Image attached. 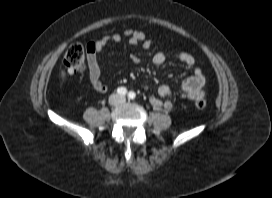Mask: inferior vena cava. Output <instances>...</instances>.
Instances as JSON below:
<instances>
[{
    "label": "inferior vena cava",
    "mask_w": 272,
    "mask_h": 198,
    "mask_svg": "<svg viewBox=\"0 0 272 198\" xmlns=\"http://www.w3.org/2000/svg\"><path fill=\"white\" fill-rule=\"evenodd\" d=\"M116 97H118L120 100H123V97L116 95Z\"/></svg>",
    "instance_id": "inferior-vena-cava-1"
}]
</instances>
